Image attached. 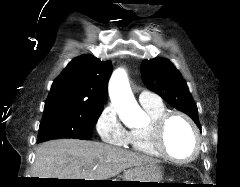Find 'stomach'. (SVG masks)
<instances>
[{
    "instance_id": "1",
    "label": "stomach",
    "mask_w": 240,
    "mask_h": 187,
    "mask_svg": "<svg viewBox=\"0 0 240 187\" xmlns=\"http://www.w3.org/2000/svg\"><path fill=\"white\" fill-rule=\"evenodd\" d=\"M162 179H163L162 168L156 163H148L138 168L126 171L124 173L123 181H130L125 182L124 184L125 186H131V184H138L136 186L156 187L158 186V183H162L161 182ZM139 182H157V183H139Z\"/></svg>"
}]
</instances>
